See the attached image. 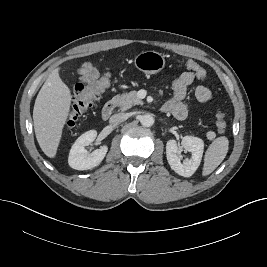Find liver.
<instances>
[{
  "label": "liver",
  "mask_w": 267,
  "mask_h": 267,
  "mask_svg": "<svg viewBox=\"0 0 267 267\" xmlns=\"http://www.w3.org/2000/svg\"><path fill=\"white\" fill-rule=\"evenodd\" d=\"M56 68L48 76L35 100L33 109L34 130L40 148L54 158L61 140L63 127L69 116L71 92Z\"/></svg>",
  "instance_id": "1"
}]
</instances>
